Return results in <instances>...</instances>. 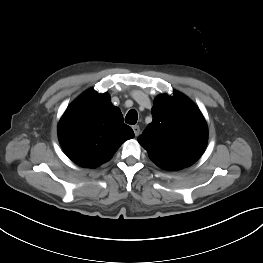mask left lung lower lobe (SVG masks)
<instances>
[{"instance_id": "0a47b994", "label": "left lung lower lobe", "mask_w": 263, "mask_h": 263, "mask_svg": "<svg viewBox=\"0 0 263 263\" xmlns=\"http://www.w3.org/2000/svg\"><path fill=\"white\" fill-rule=\"evenodd\" d=\"M169 170H177V168H172V169H169Z\"/></svg>"}]
</instances>
